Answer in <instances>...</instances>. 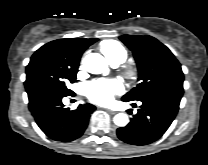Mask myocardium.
Listing matches in <instances>:
<instances>
[{"label": "myocardium", "instance_id": "obj_1", "mask_svg": "<svg viewBox=\"0 0 208 165\" xmlns=\"http://www.w3.org/2000/svg\"><path fill=\"white\" fill-rule=\"evenodd\" d=\"M124 74L128 79H135L137 76V69L132 65H127L124 67Z\"/></svg>", "mask_w": 208, "mask_h": 165}]
</instances>
